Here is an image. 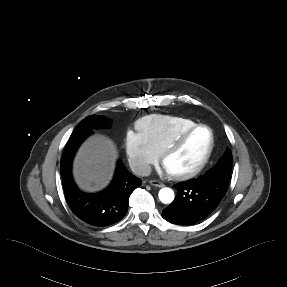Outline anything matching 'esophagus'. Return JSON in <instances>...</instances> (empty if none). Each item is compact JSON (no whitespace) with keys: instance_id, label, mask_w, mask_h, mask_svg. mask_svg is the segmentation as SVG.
<instances>
[{"instance_id":"obj_1","label":"esophagus","mask_w":287,"mask_h":287,"mask_svg":"<svg viewBox=\"0 0 287 287\" xmlns=\"http://www.w3.org/2000/svg\"><path fill=\"white\" fill-rule=\"evenodd\" d=\"M149 183H150V185L155 186V187H159V188L164 186V184L158 180H150Z\"/></svg>"}]
</instances>
